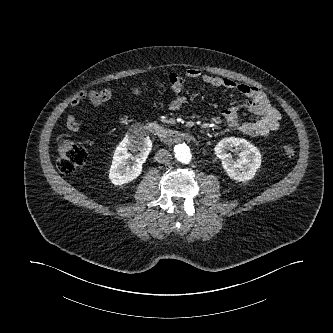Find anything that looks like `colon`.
Returning a JSON list of instances; mask_svg holds the SVG:
<instances>
[{
  "label": "colon",
  "mask_w": 333,
  "mask_h": 333,
  "mask_svg": "<svg viewBox=\"0 0 333 333\" xmlns=\"http://www.w3.org/2000/svg\"><path fill=\"white\" fill-rule=\"evenodd\" d=\"M57 166L64 174H70L79 167L83 166L87 161V153L84 148L76 144L67 137H61L57 141ZM283 153L287 158L295 155V148L286 145Z\"/></svg>",
  "instance_id": "obj_1"
}]
</instances>
